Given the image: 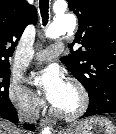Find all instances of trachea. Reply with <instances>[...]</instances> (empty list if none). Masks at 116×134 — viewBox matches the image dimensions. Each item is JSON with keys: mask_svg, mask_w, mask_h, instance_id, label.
<instances>
[{"mask_svg": "<svg viewBox=\"0 0 116 134\" xmlns=\"http://www.w3.org/2000/svg\"><path fill=\"white\" fill-rule=\"evenodd\" d=\"M39 6H40V12L42 16V22L43 25L45 26L48 23V19H49V14H48L49 0H40Z\"/></svg>", "mask_w": 116, "mask_h": 134, "instance_id": "1", "label": "trachea"}]
</instances>
